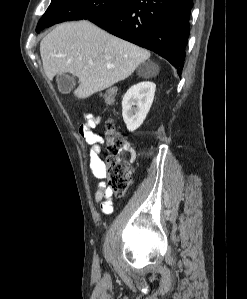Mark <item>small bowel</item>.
<instances>
[{"instance_id":"c3829d8e","label":"small bowel","mask_w":247,"mask_h":299,"mask_svg":"<svg viewBox=\"0 0 247 299\" xmlns=\"http://www.w3.org/2000/svg\"><path fill=\"white\" fill-rule=\"evenodd\" d=\"M101 121L100 116L87 114L85 122L79 127V133L82 139L91 146L89 153V167L95 177L101 178L104 163L100 157L101 146L103 143L102 137L94 132V128ZM112 192L105 183H99L94 201L101 208V211L109 215L113 212L114 204L112 201Z\"/></svg>"}]
</instances>
